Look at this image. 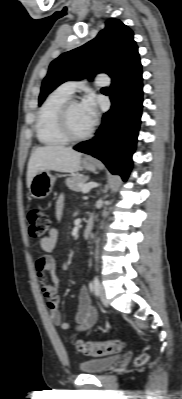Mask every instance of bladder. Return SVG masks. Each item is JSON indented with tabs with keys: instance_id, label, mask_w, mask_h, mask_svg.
Here are the masks:
<instances>
[{
	"instance_id": "obj_1",
	"label": "bladder",
	"mask_w": 182,
	"mask_h": 399,
	"mask_svg": "<svg viewBox=\"0 0 182 399\" xmlns=\"http://www.w3.org/2000/svg\"><path fill=\"white\" fill-rule=\"evenodd\" d=\"M117 359V356L90 359L81 362L79 368L86 374H99L106 371Z\"/></svg>"
}]
</instances>
